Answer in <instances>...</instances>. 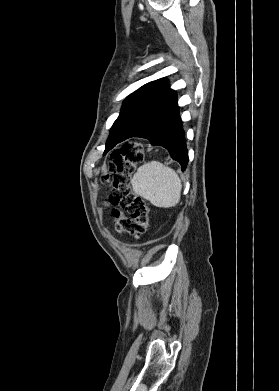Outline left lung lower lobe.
Listing matches in <instances>:
<instances>
[{
    "mask_svg": "<svg viewBox=\"0 0 279 391\" xmlns=\"http://www.w3.org/2000/svg\"><path fill=\"white\" fill-rule=\"evenodd\" d=\"M131 137L146 138L150 141L151 145L164 147L169 151L172 159L180 163L182 170L186 169L188 164V151L177 104L159 117L154 123Z\"/></svg>",
    "mask_w": 279,
    "mask_h": 391,
    "instance_id": "left-lung-lower-lobe-1",
    "label": "left lung lower lobe"
}]
</instances>
